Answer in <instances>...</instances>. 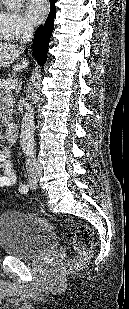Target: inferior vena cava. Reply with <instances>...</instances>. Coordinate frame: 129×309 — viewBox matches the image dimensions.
<instances>
[{
	"label": "inferior vena cava",
	"mask_w": 129,
	"mask_h": 309,
	"mask_svg": "<svg viewBox=\"0 0 129 309\" xmlns=\"http://www.w3.org/2000/svg\"><path fill=\"white\" fill-rule=\"evenodd\" d=\"M33 34H34V28H33V26L32 25H30V24H25L24 26H23V35H22V40H21V43L22 44H25V43H27V42H31L32 41V39H33ZM35 170H37V171H40L41 169H40V166H39V164H35Z\"/></svg>",
	"instance_id": "inferior-vena-cava-1"
}]
</instances>
